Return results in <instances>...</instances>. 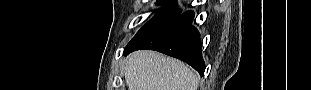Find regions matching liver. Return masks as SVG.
I'll list each match as a JSON object with an SVG mask.
<instances>
[{"label": "liver", "mask_w": 311, "mask_h": 90, "mask_svg": "<svg viewBox=\"0 0 311 90\" xmlns=\"http://www.w3.org/2000/svg\"><path fill=\"white\" fill-rule=\"evenodd\" d=\"M129 90H195L196 75L185 63L154 51H137L127 58Z\"/></svg>", "instance_id": "1"}]
</instances>
